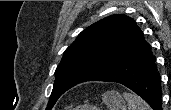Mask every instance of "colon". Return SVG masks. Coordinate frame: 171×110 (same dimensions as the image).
<instances>
[{"mask_svg":"<svg viewBox=\"0 0 171 110\" xmlns=\"http://www.w3.org/2000/svg\"><path fill=\"white\" fill-rule=\"evenodd\" d=\"M73 110H89V109H87L86 106H77L73 108Z\"/></svg>","mask_w":171,"mask_h":110,"instance_id":"5ec220e1","label":"colon"}]
</instances>
